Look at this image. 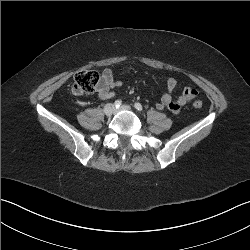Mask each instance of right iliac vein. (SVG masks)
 Returning a JSON list of instances; mask_svg holds the SVG:
<instances>
[{
	"label": "right iliac vein",
	"mask_w": 250,
	"mask_h": 250,
	"mask_svg": "<svg viewBox=\"0 0 250 250\" xmlns=\"http://www.w3.org/2000/svg\"><path fill=\"white\" fill-rule=\"evenodd\" d=\"M114 112H115V107H114L113 104H107V105H105V107H104V113H105V115L110 116Z\"/></svg>",
	"instance_id": "63e3f726"
}]
</instances>
